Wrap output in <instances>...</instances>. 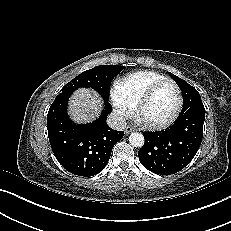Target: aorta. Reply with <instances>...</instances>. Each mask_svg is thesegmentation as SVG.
<instances>
[{
    "label": "aorta",
    "mask_w": 231,
    "mask_h": 231,
    "mask_svg": "<svg viewBox=\"0 0 231 231\" xmlns=\"http://www.w3.org/2000/svg\"><path fill=\"white\" fill-rule=\"evenodd\" d=\"M129 142L133 147L141 148L144 145V136L141 133L133 132L129 136Z\"/></svg>",
    "instance_id": "762f6f07"
}]
</instances>
